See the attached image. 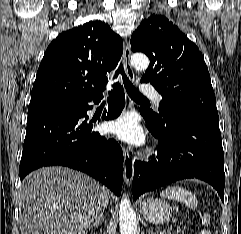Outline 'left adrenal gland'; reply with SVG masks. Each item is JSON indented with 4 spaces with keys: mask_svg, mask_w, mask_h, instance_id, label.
<instances>
[{
    "mask_svg": "<svg viewBox=\"0 0 241 234\" xmlns=\"http://www.w3.org/2000/svg\"><path fill=\"white\" fill-rule=\"evenodd\" d=\"M148 233H149V234H153V231L150 230V229H148Z\"/></svg>",
    "mask_w": 241,
    "mask_h": 234,
    "instance_id": "1",
    "label": "left adrenal gland"
}]
</instances>
